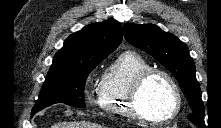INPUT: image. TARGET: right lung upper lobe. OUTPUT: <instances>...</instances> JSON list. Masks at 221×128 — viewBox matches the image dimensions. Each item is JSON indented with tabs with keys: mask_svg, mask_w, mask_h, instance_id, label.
<instances>
[{
	"mask_svg": "<svg viewBox=\"0 0 221 128\" xmlns=\"http://www.w3.org/2000/svg\"><path fill=\"white\" fill-rule=\"evenodd\" d=\"M122 27L112 21L94 23L73 33L54 56L49 71L105 59L121 43Z\"/></svg>",
	"mask_w": 221,
	"mask_h": 128,
	"instance_id": "obj_1",
	"label": "right lung upper lobe"
}]
</instances>
